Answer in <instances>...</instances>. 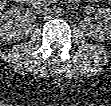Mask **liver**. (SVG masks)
I'll return each instance as SVG.
<instances>
[{
	"label": "liver",
	"mask_w": 111,
	"mask_h": 106,
	"mask_svg": "<svg viewBox=\"0 0 111 106\" xmlns=\"http://www.w3.org/2000/svg\"><path fill=\"white\" fill-rule=\"evenodd\" d=\"M7 1H1V7H4L6 5Z\"/></svg>",
	"instance_id": "1"
}]
</instances>
